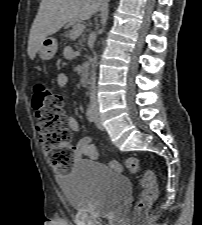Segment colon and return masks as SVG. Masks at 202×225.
Masks as SVG:
<instances>
[{
  "instance_id": "1",
  "label": "colon",
  "mask_w": 202,
  "mask_h": 225,
  "mask_svg": "<svg viewBox=\"0 0 202 225\" xmlns=\"http://www.w3.org/2000/svg\"><path fill=\"white\" fill-rule=\"evenodd\" d=\"M34 103L35 129L47 161L58 174H66L71 171L75 148L71 145L72 132L63 116L61 97L37 84ZM140 165L141 162L136 157H130L125 162L127 171L132 174L140 171ZM111 166L119 168L120 165L117 160H112ZM139 185L141 193L134 209L136 222L140 221L158 197L156 176L151 170H143Z\"/></svg>"
}]
</instances>
